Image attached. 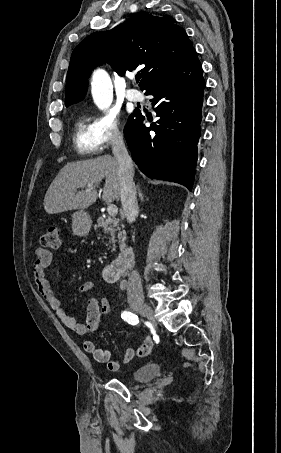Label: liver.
Listing matches in <instances>:
<instances>
[{"label":"liver","instance_id":"6515ba94","mask_svg":"<svg viewBox=\"0 0 281 453\" xmlns=\"http://www.w3.org/2000/svg\"><path fill=\"white\" fill-rule=\"evenodd\" d=\"M119 164L115 156L104 154L89 160L67 162L53 182L45 196L44 208L48 214L73 210V208H88L97 200L96 188H88L89 184L98 186L105 178L102 200L113 202L119 200ZM85 188V190H76Z\"/></svg>","mask_w":281,"mask_h":453}]
</instances>
